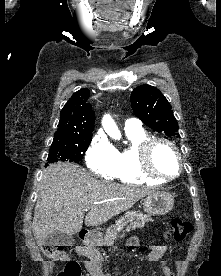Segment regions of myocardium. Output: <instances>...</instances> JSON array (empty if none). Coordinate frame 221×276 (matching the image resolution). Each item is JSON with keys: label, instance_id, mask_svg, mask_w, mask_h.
<instances>
[{"label": "myocardium", "instance_id": "obj_1", "mask_svg": "<svg viewBox=\"0 0 221 276\" xmlns=\"http://www.w3.org/2000/svg\"><path fill=\"white\" fill-rule=\"evenodd\" d=\"M159 143L167 144L175 153L178 161V170L173 175H162L158 173L152 163V152L154 147ZM138 159L142 173L156 181L164 182L176 179L182 172L183 160L179 148L170 139L164 137H149L140 143L138 146Z\"/></svg>", "mask_w": 221, "mask_h": 276}]
</instances>
